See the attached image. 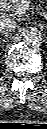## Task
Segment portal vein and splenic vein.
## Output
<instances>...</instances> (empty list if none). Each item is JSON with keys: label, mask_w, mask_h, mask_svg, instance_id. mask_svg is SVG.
I'll list each match as a JSON object with an SVG mask.
<instances>
[{"label": "portal vein and splenic vein", "mask_w": 47, "mask_h": 129, "mask_svg": "<svg viewBox=\"0 0 47 129\" xmlns=\"http://www.w3.org/2000/svg\"><path fill=\"white\" fill-rule=\"evenodd\" d=\"M29 8V5L28 6H25V7H19L16 11H17V14L19 15H22L26 12V10Z\"/></svg>", "instance_id": "1"}]
</instances>
